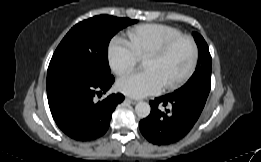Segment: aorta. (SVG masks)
I'll return each mask as SVG.
<instances>
[{
    "label": "aorta",
    "instance_id": "762f6f07",
    "mask_svg": "<svg viewBox=\"0 0 261 162\" xmlns=\"http://www.w3.org/2000/svg\"><path fill=\"white\" fill-rule=\"evenodd\" d=\"M150 111L151 107L147 102L140 101L135 106V112L140 118H146L150 114Z\"/></svg>",
    "mask_w": 261,
    "mask_h": 162
}]
</instances>
